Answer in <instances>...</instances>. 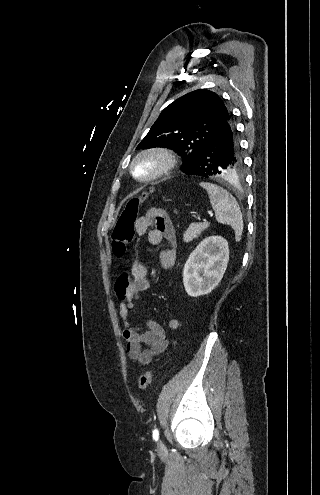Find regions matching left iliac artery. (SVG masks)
<instances>
[{"instance_id": "left-iliac-artery-1", "label": "left iliac artery", "mask_w": 320, "mask_h": 495, "mask_svg": "<svg viewBox=\"0 0 320 495\" xmlns=\"http://www.w3.org/2000/svg\"><path fill=\"white\" fill-rule=\"evenodd\" d=\"M152 436H153V439H154L155 441H157V440H158V438H159V431H158V429H155V430L153 431Z\"/></svg>"}]
</instances>
